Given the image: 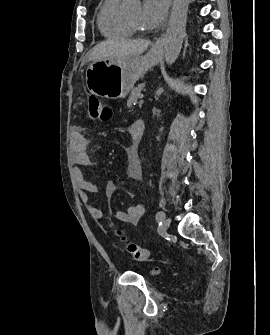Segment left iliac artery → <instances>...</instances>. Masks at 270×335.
<instances>
[{"label": "left iliac artery", "mask_w": 270, "mask_h": 335, "mask_svg": "<svg viewBox=\"0 0 270 335\" xmlns=\"http://www.w3.org/2000/svg\"><path fill=\"white\" fill-rule=\"evenodd\" d=\"M165 219V213L163 211H159L156 214V220L160 223H162V221Z\"/></svg>", "instance_id": "44dca946"}]
</instances>
